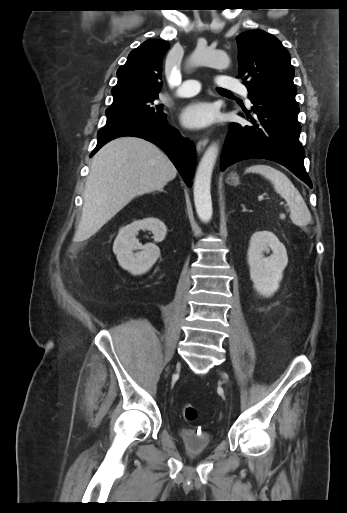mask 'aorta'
<instances>
[{"instance_id":"aorta-1","label":"aorta","mask_w":347,"mask_h":513,"mask_svg":"<svg viewBox=\"0 0 347 513\" xmlns=\"http://www.w3.org/2000/svg\"><path fill=\"white\" fill-rule=\"evenodd\" d=\"M190 66H209L217 69H227L230 65V58L224 51H212L204 47L197 46L189 58ZM219 146L212 143L199 163L195 181H194V203L198 217L203 222H208L212 218V200H211V178L213 169L217 160Z\"/></svg>"}]
</instances>
